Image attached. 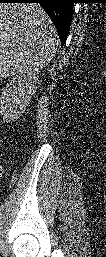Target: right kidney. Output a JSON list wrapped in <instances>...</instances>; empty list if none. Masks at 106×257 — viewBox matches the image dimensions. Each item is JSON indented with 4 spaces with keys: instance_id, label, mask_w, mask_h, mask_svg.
Listing matches in <instances>:
<instances>
[{
    "instance_id": "1",
    "label": "right kidney",
    "mask_w": 106,
    "mask_h": 257,
    "mask_svg": "<svg viewBox=\"0 0 106 257\" xmlns=\"http://www.w3.org/2000/svg\"><path fill=\"white\" fill-rule=\"evenodd\" d=\"M30 75H33L34 77H30L31 79L32 78H34L35 79V73L34 74H30ZM15 79L16 78H13V80L11 81V83L10 84H8L7 85V87L6 88H4L2 91V104H6V106H5V108L4 109H6L7 107L8 108H10L9 109V111H11V113L13 112V110H11V106H7V103H9L12 99H14V101L16 102V104L17 103H21V101H23V100H19L18 98V96H20V98H22V99H25L24 98V96H25V86H23V84L21 83V81H19L18 83H19V87L18 88H16V81H15ZM14 83H15V85H14ZM34 83V82H33ZM11 85H13L12 87H11ZM29 85H31V86H29V90H28V93H31L32 91V87L34 88V85H32V84H29ZM27 87V86H26ZM21 96H23V97H21ZM10 97H12V98H10ZM8 105H11V104H8ZM14 106V105H13ZM21 106H24V105H21ZM9 111L6 113V115H10V116H12L13 117V115L12 114H9Z\"/></svg>"
}]
</instances>
